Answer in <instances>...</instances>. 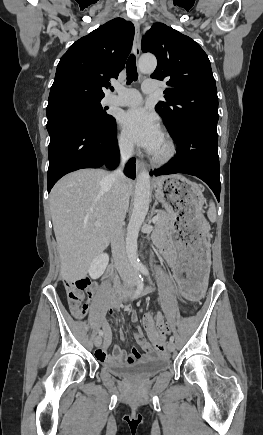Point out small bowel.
Segmentation results:
<instances>
[{
  "mask_svg": "<svg viewBox=\"0 0 263 435\" xmlns=\"http://www.w3.org/2000/svg\"><path fill=\"white\" fill-rule=\"evenodd\" d=\"M156 243L159 245L162 257L173 274V264L175 261H178L179 258L177 256L176 249L171 244L166 243L161 237L156 238ZM115 307L116 304L113 305L110 311H112V309ZM130 319L133 323H136L138 321V316L136 315V313L132 312L130 314ZM142 323L148 332L150 341H153V343L151 344L145 338L144 334L141 331H137L135 333V339L144 351V354L140 353L139 350L136 348H133L129 353H126L118 345H113L111 348V352H109V348L111 347L112 342L111 328L106 319H100L99 327L104 335V344L103 348L97 351L98 360L106 363L129 364L135 363L153 355H164L165 350L168 348V343L166 341H161L166 333L165 323L162 315L158 314L154 317L152 313H146L142 318ZM120 336L123 340L125 339L123 333H121Z\"/></svg>",
  "mask_w": 263,
  "mask_h": 435,
  "instance_id": "obj_1",
  "label": "small bowel"
}]
</instances>
